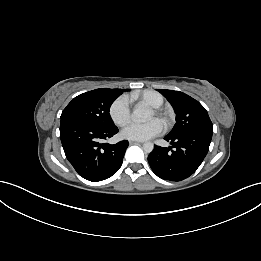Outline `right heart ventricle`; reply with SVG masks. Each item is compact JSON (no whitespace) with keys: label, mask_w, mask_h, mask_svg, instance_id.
I'll return each mask as SVG.
<instances>
[{"label":"right heart ventricle","mask_w":261,"mask_h":261,"mask_svg":"<svg viewBox=\"0 0 261 261\" xmlns=\"http://www.w3.org/2000/svg\"><path fill=\"white\" fill-rule=\"evenodd\" d=\"M132 98L139 99L153 108H159L164 103L163 96L160 93L153 90H145L140 94H133Z\"/></svg>","instance_id":"obj_1"}]
</instances>
